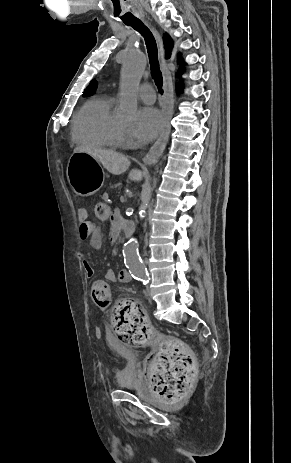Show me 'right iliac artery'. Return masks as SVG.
Returning <instances> with one entry per match:
<instances>
[{"mask_svg": "<svg viewBox=\"0 0 291 463\" xmlns=\"http://www.w3.org/2000/svg\"><path fill=\"white\" fill-rule=\"evenodd\" d=\"M137 280H140L143 282V284H147L149 282V278L148 277H141V278H137Z\"/></svg>", "mask_w": 291, "mask_h": 463, "instance_id": "right-iliac-artery-1", "label": "right iliac artery"}]
</instances>
